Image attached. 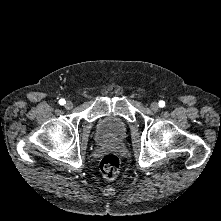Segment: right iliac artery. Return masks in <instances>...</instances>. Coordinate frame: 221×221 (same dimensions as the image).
<instances>
[{"instance_id": "right-iliac-artery-1", "label": "right iliac artery", "mask_w": 221, "mask_h": 221, "mask_svg": "<svg viewBox=\"0 0 221 221\" xmlns=\"http://www.w3.org/2000/svg\"><path fill=\"white\" fill-rule=\"evenodd\" d=\"M65 103H66V101H65L64 99H60V100H59V104H60V105H64Z\"/></svg>"}]
</instances>
